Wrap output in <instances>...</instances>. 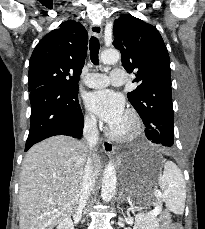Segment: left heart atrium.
<instances>
[{
    "instance_id": "obj_1",
    "label": "left heart atrium",
    "mask_w": 205,
    "mask_h": 229,
    "mask_svg": "<svg viewBox=\"0 0 205 229\" xmlns=\"http://www.w3.org/2000/svg\"><path fill=\"white\" fill-rule=\"evenodd\" d=\"M87 108L110 127L124 116V98L108 89L91 92L86 97Z\"/></svg>"
}]
</instances>
